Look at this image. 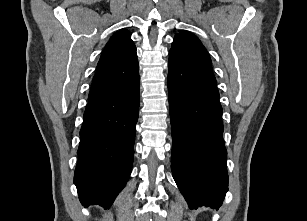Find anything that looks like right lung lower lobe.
<instances>
[{
  "label": "right lung lower lobe",
  "mask_w": 307,
  "mask_h": 221,
  "mask_svg": "<svg viewBox=\"0 0 307 221\" xmlns=\"http://www.w3.org/2000/svg\"><path fill=\"white\" fill-rule=\"evenodd\" d=\"M139 78L129 87L88 100L74 174L84 205H112L132 169L139 114Z\"/></svg>",
  "instance_id": "right-lung-lower-lobe-1"
}]
</instances>
